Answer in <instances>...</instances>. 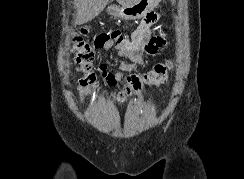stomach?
<instances>
[{
    "mask_svg": "<svg viewBox=\"0 0 244 179\" xmlns=\"http://www.w3.org/2000/svg\"><path fill=\"white\" fill-rule=\"evenodd\" d=\"M159 0H122V8L119 6H108L107 12L115 18H123V20H137L143 18L144 14H150V9L155 8V3ZM142 7V8H141Z\"/></svg>",
    "mask_w": 244,
    "mask_h": 179,
    "instance_id": "1",
    "label": "stomach"
}]
</instances>
